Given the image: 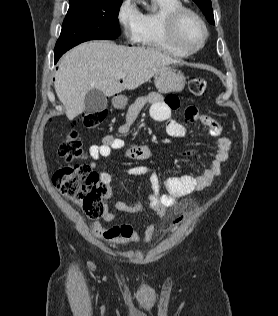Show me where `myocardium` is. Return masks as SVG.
<instances>
[{
    "instance_id": "obj_1",
    "label": "myocardium",
    "mask_w": 278,
    "mask_h": 316,
    "mask_svg": "<svg viewBox=\"0 0 278 316\" xmlns=\"http://www.w3.org/2000/svg\"><path fill=\"white\" fill-rule=\"evenodd\" d=\"M187 17H192L193 19H195L200 24L203 30L202 40L197 46H192L188 44L183 36L182 25L183 21ZM167 26L173 41L181 49L188 52L189 54L196 53L201 50L205 46L209 37L208 27L202 16L195 10L185 6H182L169 14L167 19Z\"/></svg>"
}]
</instances>
